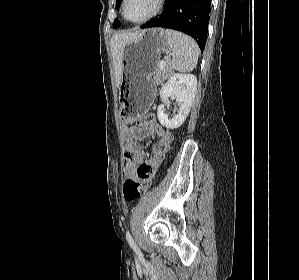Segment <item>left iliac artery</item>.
<instances>
[{
    "label": "left iliac artery",
    "instance_id": "obj_1",
    "mask_svg": "<svg viewBox=\"0 0 299 280\" xmlns=\"http://www.w3.org/2000/svg\"><path fill=\"white\" fill-rule=\"evenodd\" d=\"M126 239L131 247H135V243H134L133 238L129 231H127V233H126Z\"/></svg>",
    "mask_w": 299,
    "mask_h": 280
}]
</instances>
